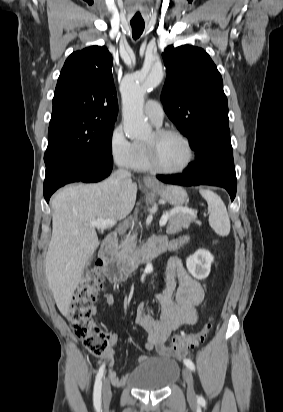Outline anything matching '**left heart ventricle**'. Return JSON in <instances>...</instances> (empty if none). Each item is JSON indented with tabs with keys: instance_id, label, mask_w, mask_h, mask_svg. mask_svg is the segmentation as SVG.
<instances>
[{
	"instance_id": "1",
	"label": "left heart ventricle",
	"mask_w": 283,
	"mask_h": 412,
	"mask_svg": "<svg viewBox=\"0 0 283 412\" xmlns=\"http://www.w3.org/2000/svg\"><path fill=\"white\" fill-rule=\"evenodd\" d=\"M154 141L155 157L160 167L164 169H177L183 166L188 153L186 146L174 136L154 138L153 133L145 142Z\"/></svg>"
}]
</instances>
